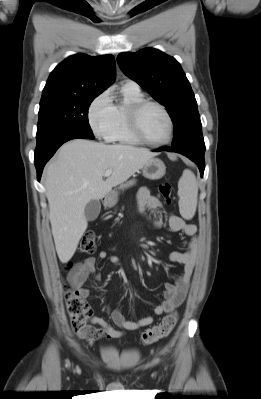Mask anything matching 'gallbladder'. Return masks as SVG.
<instances>
[{
	"mask_svg": "<svg viewBox=\"0 0 261 399\" xmlns=\"http://www.w3.org/2000/svg\"><path fill=\"white\" fill-rule=\"evenodd\" d=\"M101 210V204L99 200H91L85 207L84 214L88 221L95 220Z\"/></svg>",
	"mask_w": 261,
	"mask_h": 399,
	"instance_id": "gallbladder-1",
	"label": "gallbladder"
}]
</instances>
